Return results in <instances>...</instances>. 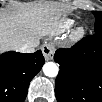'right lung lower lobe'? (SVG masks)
<instances>
[{
    "label": "right lung lower lobe",
    "instance_id": "1",
    "mask_svg": "<svg viewBox=\"0 0 102 102\" xmlns=\"http://www.w3.org/2000/svg\"><path fill=\"white\" fill-rule=\"evenodd\" d=\"M44 62L41 50L31 54L11 51L0 55L1 102H22L30 81Z\"/></svg>",
    "mask_w": 102,
    "mask_h": 102
}]
</instances>
